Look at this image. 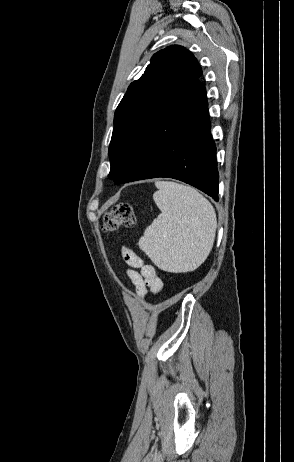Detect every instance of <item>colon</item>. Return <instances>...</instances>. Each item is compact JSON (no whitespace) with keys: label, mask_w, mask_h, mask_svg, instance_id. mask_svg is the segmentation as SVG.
I'll return each mask as SVG.
<instances>
[{"label":"colon","mask_w":294,"mask_h":462,"mask_svg":"<svg viewBox=\"0 0 294 462\" xmlns=\"http://www.w3.org/2000/svg\"><path fill=\"white\" fill-rule=\"evenodd\" d=\"M135 224V215L132 206L123 202L115 205L103 218L102 229L111 232L119 227H132Z\"/></svg>","instance_id":"1"}]
</instances>
